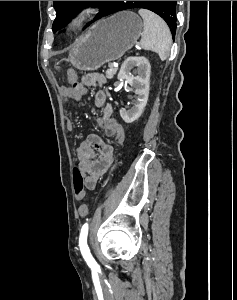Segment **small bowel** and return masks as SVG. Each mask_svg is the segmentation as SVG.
<instances>
[{"label": "small bowel", "instance_id": "obj_1", "mask_svg": "<svg viewBox=\"0 0 237 300\" xmlns=\"http://www.w3.org/2000/svg\"><path fill=\"white\" fill-rule=\"evenodd\" d=\"M71 84L78 82V77L74 72L69 74ZM105 77L98 72L86 74L82 79L83 92L77 93L73 87H62L61 94L68 104L71 100H79L85 92V87L94 85H103ZM96 107L101 109V115L97 119L100 128L103 129L105 140H102L96 134H90L86 137L76 149V155L79 161V170L85 175V185L92 190L96 187L98 181L109 171L114 164V146H122L125 133L122 125L112 115V105L107 101L104 91H98L94 97ZM68 130L74 128L71 118L66 119ZM88 208L85 204L79 207V215L86 216Z\"/></svg>", "mask_w": 237, "mask_h": 300}]
</instances>
